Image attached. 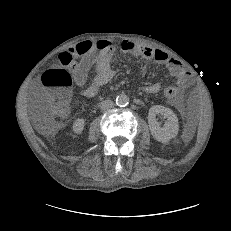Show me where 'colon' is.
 I'll return each mask as SVG.
<instances>
[{
	"label": "colon",
	"mask_w": 231,
	"mask_h": 231,
	"mask_svg": "<svg viewBox=\"0 0 231 231\" xmlns=\"http://www.w3.org/2000/svg\"><path fill=\"white\" fill-rule=\"evenodd\" d=\"M64 56H60L63 59ZM72 75L66 69H50L42 75V84L45 87L47 109L50 115L60 123V118L66 113L70 105L72 86ZM179 95V88L176 85L168 84L164 88V97L167 100H174Z\"/></svg>",
	"instance_id": "obj_1"
}]
</instances>
